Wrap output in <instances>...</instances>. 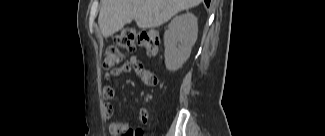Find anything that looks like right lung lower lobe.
Wrapping results in <instances>:
<instances>
[{
    "label": "right lung lower lobe",
    "mask_w": 325,
    "mask_h": 136,
    "mask_svg": "<svg viewBox=\"0 0 325 136\" xmlns=\"http://www.w3.org/2000/svg\"><path fill=\"white\" fill-rule=\"evenodd\" d=\"M204 1H205L206 5L209 6L210 0H204Z\"/></svg>",
    "instance_id": "98d812e1"
}]
</instances>
